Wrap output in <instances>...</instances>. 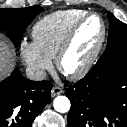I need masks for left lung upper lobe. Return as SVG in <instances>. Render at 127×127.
<instances>
[{
    "label": "left lung upper lobe",
    "instance_id": "1",
    "mask_svg": "<svg viewBox=\"0 0 127 127\" xmlns=\"http://www.w3.org/2000/svg\"><path fill=\"white\" fill-rule=\"evenodd\" d=\"M108 18L110 28L106 50L121 43H127V25L115 18L110 12H108Z\"/></svg>",
    "mask_w": 127,
    "mask_h": 127
}]
</instances>
